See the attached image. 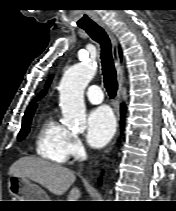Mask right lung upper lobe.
Instances as JSON below:
<instances>
[{"label":"right lung upper lobe","mask_w":176,"mask_h":211,"mask_svg":"<svg viewBox=\"0 0 176 211\" xmlns=\"http://www.w3.org/2000/svg\"><path fill=\"white\" fill-rule=\"evenodd\" d=\"M50 81H51V78H50V80L47 82L46 88L49 86ZM45 93H46V91H43L41 94H39V95L32 101V103L30 104V106L27 108V110H26L24 116H26V115H28V114H33V113H34L35 108H36L35 101L41 99V98L45 95Z\"/></svg>","instance_id":"obj_1"}]
</instances>
